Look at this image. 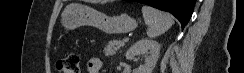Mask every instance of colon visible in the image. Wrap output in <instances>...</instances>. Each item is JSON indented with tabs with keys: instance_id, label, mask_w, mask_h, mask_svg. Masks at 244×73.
Wrapping results in <instances>:
<instances>
[{
	"instance_id": "obj_1",
	"label": "colon",
	"mask_w": 244,
	"mask_h": 73,
	"mask_svg": "<svg viewBox=\"0 0 244 73\" xmlns=\"http://www.w3.org/2000/svg\"><path fill=\"white\" fill-rule=\"evenodd\" d=\"M81 57L78 52H70L57 62L59 73H79Z\"/></svg>"
}]
</instances>
